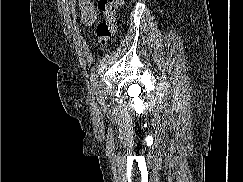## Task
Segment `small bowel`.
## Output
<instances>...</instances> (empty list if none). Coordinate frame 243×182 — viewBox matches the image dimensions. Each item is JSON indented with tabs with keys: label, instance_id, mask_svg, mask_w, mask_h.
Returning a JSON list of instances; mask_svg holds the SVG:
<instances>
[{
	"label": "small bowel",
	"instance_id": "c3829d8e",
	"mask_svg": "<svg viewBox=\"0 0 243 182\" xmlns=\"http://www.w3.org/2000/svg\"><path fill=\"white\" fill-rule=\"evenodd\" d=\"M79 10L81 21L85 27L91 26L95 23L97 14L91 0H79Z\"/></svg>",
	"mask_w": 243,
	"mask_h": 182
}]
</instances>
